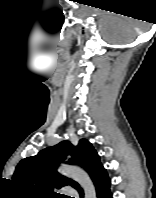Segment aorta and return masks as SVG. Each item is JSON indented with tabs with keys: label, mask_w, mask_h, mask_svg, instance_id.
<instances>
[{
	"label": "aorta",
	"mask_w": 156,
	"mask_h": 198,
	"mask_svg": "<svg viewBox=\"0 0 156 198\" xmlns=\"http://www.w3.org/2000/svg\"><path fill=\"white\" fill-rule=\"evenodd\" d=\"M60 173L70 176L83 188L84 198H96V191L89 175L81 168L76 166L62 165L59 169Z\"/></svg>",
	"instance_id": "762f6f07"
}]
</instances>
